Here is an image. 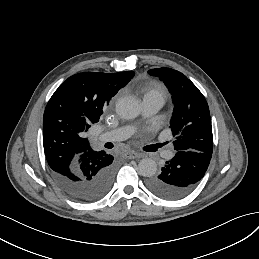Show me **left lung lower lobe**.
I'll use <instances>...</instances> for the list:
<instances>
[{
  "instance_id": "0a47b994",
  "label": "left lung lower lobe",
  "mask_w": 259,
  "mask_h": 259,
  "mask_svg": "<svg viewBox=\"0 0 259 259\" xmlns=\"http://www.w3.org/2000/svg\"><path fill=\"white\" fill-rule=\"evenodd\" d=\"M212 155L193 150H177L166 161L159 176L148 179L147 187L156 196L178 200L190 194L205 175Z\"/></svg>"
}]
</instances>
